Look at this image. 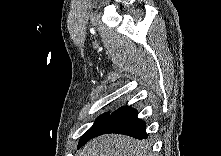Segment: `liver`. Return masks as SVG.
Segmentation results:
<instances>
[{
	"label": "liver",
	"instance_id": "1",
	"mask_svg": "<svg viewBox=\"0 0 221 156\" xmlns=\"http://www.w3.org/2000/svg\"><path fill=\"white\" fill-rule=\"evenodd\" d=\"M145 142L118 134H108L91 140L79 156H148Z\"/></svg>",
	"mask_w": 221,
	"mask_h": 156
}]
</instances>
